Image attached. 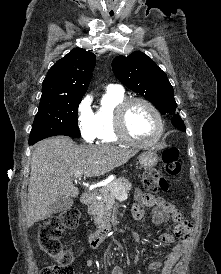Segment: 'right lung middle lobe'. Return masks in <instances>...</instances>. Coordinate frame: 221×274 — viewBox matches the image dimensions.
Segmentation results:
<instances>
[{
	"mask_svg": "<svg viewBox=\"0 0 221 274\" xmlns=\"http://www.w3.org/2000/svg\"><path fill=\"white\" fill-rule=\"evenodd\" d=\"M82 98L43 99L35 116L29 144L50 136L79 138L77 114Z\"/></svg>",
	"mask_w": 221,
	"mask_h": 274,
	"instance_id": "1",
	"label": "right lung middle lobe"
}]
</instances>
